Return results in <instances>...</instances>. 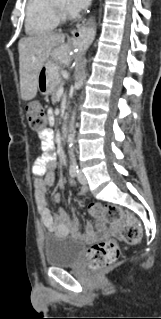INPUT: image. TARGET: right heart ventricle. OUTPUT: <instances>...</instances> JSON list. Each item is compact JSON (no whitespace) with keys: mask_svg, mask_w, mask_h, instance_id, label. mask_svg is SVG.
<instances>
[{"mask_svg":"<svg viewBox=\"0 0 161 319\" xmlns=\"http://www.w3.org/2000/svg\"><path fill=\"white\" fill-rule=\"evenodd\" d=\"M58 17L52 0H28L25 10V30L29 36H41L55 30Z\"/></svg>","mask_w":161,"mask_h":319,"instance_id":"1","label":"right heart ventricle"}]
</instances>
